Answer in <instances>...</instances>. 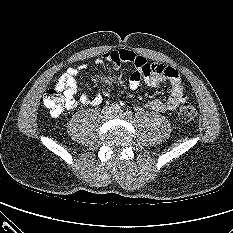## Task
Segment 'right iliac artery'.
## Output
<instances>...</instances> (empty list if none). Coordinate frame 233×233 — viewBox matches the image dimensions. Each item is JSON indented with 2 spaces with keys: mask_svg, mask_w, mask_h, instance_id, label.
I'll use <instances>...</instances> for the list:
<instances>
[{
  "mask_svg": "<svg viewBox=\"0 0 233 233\" xmlns=\"http://www.w3.org/2000/svg\"><path fill=\"white\" fill-rule=\"evenodd\" d=\"M112 110H113L114 112H118V111H120V106H119L118 104H113V105H112Z\"/></svg>",
  "mask_w": 233,
  "mask_h": 233,
  "instance_id": "1",
  "label": "right iliac artery"
}]
</instances>
